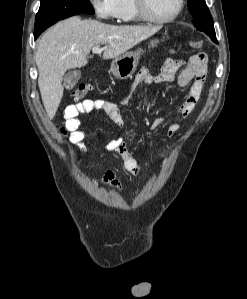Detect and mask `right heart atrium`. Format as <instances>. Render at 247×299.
Returning <instances> with one entry per match:
<instances>
[{
  "mask_svg": "<svg viewBox=\"0 0 247 299\" xmlns=\"http://www.w3.org/2000/svg\"><path fill=\"white\" fill-rule=\"evenodd\" d=\"M115 2L116 0H89L95 15L102 20L115 18Z\"/></svg>",
  "mask_w": 247,
  "mask_h": 299,
  "instance_id": "obj_1",
  "label": "right heart atrium"
}]
</instances>
